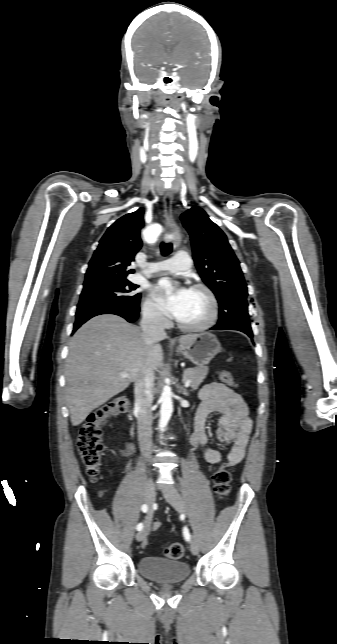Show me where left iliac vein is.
Wrapping results in <instances>:
<instances>
[{
  "label": "left iliac vein",
  "instance_id": "4c4485c4",
  "mask_svg": "<svg viewBox=\"0 0 337 644\" xmlns=\"http://www.w3.org/2000/svg\"><path fill=\"white\" fill-rule=\"evenodd\" d=\"M164 497L167 502L177 511L186 512L184 500L174 488L164 490ZM190 550L194 555H197L199 553V543L195 538H193V540L191 541Z\"/></svg>",
  "mask_w": 337,
  "mask_h": 644
}]
</instances>
